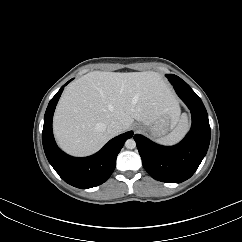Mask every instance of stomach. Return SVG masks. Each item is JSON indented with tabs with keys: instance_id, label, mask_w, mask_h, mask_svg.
I'll use <instances>...</instances> for the list:
<instances>
[{
	"instance_id": "obj_1",
	"label": "stomach",
	"mask_w": 242,
	"mask_h": 242,
	"mask_svg": "<svg viewBox=\"0 0 242 242\" xmlns=\"http://www.w3.org/2000/svg\"><path fill=\"white\" fill-rule=\"evenodd\" d=\"M177 119L173 118L170 115H163L156 121H154L148 130L150 131L153 137H161L165 135L171 128L176 124Z\"/></svg>"
}]
</instances>
